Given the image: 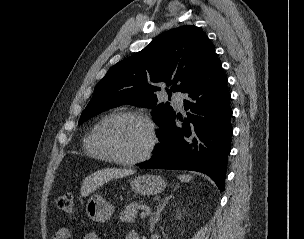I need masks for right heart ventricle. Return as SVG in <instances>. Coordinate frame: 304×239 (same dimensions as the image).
Listing matches in <instances>:
<instances>
[{"mask_svg": "<svg viewBox=\"0 0 304 239\" xmlns=\"http://www.w3.org/2000/svg\"><path fill=\"white\" fill-rule=\"evenodd\" d=\"M112 114L105 115L102 117L90 130V132L85 136L83 140V149L85 153L93 158L100 159V160H109L108 156L101 150V148L97 144L96 134L98 128L100 127L101 123Z\"/></svg>", "mask_w": 304, "mask_h": 239, "instance_id": "obj_1", "label": "right heart ventricle"}]
</instances>
